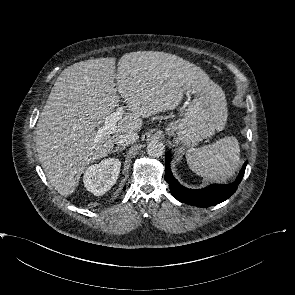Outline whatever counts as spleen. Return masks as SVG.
<instances>
[{"label":"spleen","mask_w":295,"mask_h":295,"mask_svg":"<svg viewBox=\"0 0 295 295\" xmlns=\"http://www.w3.org/2000/svg\"><path fill=\"white\" fill-rule=\"evenodd\" d=\"M190 169L215 181H225L238 169L240 164V147L236 137L222 138L211 145L191 148L186 152Z\"/></svg>","instance_id":"3e777b00"}]
</instances>
